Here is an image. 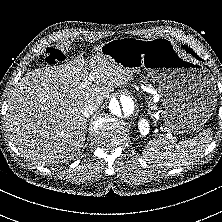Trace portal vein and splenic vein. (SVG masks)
Listing matches in <instances>:
<instances>
[{
  "instance_id": "1",
  "label": "portal vein and splenic vein",
  "mask_w": 222,
  "mask_h": 222,
  "mask_svg": "<svg viewBox=\"0 0 222 222\" xmlns=\"http://www.w3.org/2000/svg\"><path fill=\"white\" fill-rule=\"evenodd\" d=\"M91 81H92V78H90V80H87L85 83H86V84H90ZM145 90H146V92H150V89H148V88H146ZM155 117H156V116H155ZM156 118H157V117H156ZM164 132H165L166 137H167L170 141H172V143H175V142H176V137L172 134V132H171L170 130L164 129Z\"/></svg>"
}]
</instances>
